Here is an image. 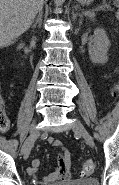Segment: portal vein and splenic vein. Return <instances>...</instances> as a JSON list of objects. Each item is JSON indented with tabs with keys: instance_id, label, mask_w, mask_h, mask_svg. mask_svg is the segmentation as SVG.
<instances>
[{
	"instance_id": "18ae733b",
	"label": "portal vein and splenic vein",
	"mask_w": 119,
	"mask_h": 185,
	"mask_svg": "<svg viewBox=\"0 0 119 185\" xmlns=\"http://www.w3.org/2000/svg\"><path fill=\"white\" fill-rule=\"evenodd\" d=\"M93 12H94V10H92V11H86V12H84V15H89V14H91Z\"/></svg>"
}]
</instances>
